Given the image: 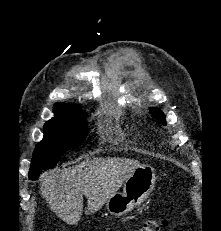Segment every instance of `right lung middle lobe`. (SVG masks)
<instances>
[{
	"label": "right lung middle lobe",
	"mask_w": 221,
	"mask_h": 231,
	"mask_svg": "<svg viewBox=\"0 0 221 231\" xmlns=\"http://www.w3.org/2000/svg\"><path fill=\"white\" fill-rule=\"evenodd\" d=\"M85 115L56 116L45 123L44 138L37 144L30 172L41 173L52 168L60 155L79 146L87 137Z\"/></svg>",
	"instance_id": "right-lung-middle-lobe-1"
}]
</instances>
